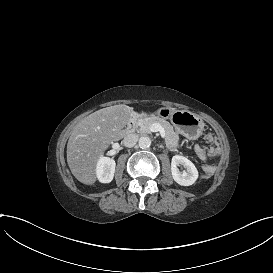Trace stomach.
<instances>
[{
    "mask_svg": "<svg viewBox=\"0 0 273 273\" xmlns=\"http://www.w3.org/2000/svg\"><path fill=\"white\" fill-rule=\"evenodd\" d=\"M156 114L163 119H169L177 133L189 140H196L203 134L205 126L203 119L190 111L162 107Z\"/></svg>",
    "mask_w": 273,
    "mask_h": 273,
    "instance_id": "1",
    "label": "stomach"
}]
</instances>
